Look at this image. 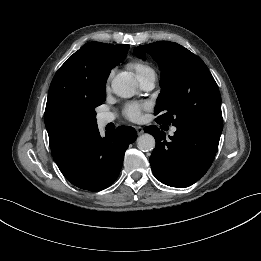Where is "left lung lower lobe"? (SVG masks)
<instances>
[{
    "label": "left lung lower lobe",
    "mask_w": 261,
    "mask_h": 261,
    "mask_svg": "<svg viewBox=\"0 0 261 261\" xmlns=\"http://www.w3.org/2000/svg\"><path fill=\"white\" fill-rule=\"evenodd\" d=\"M145 132L156 140L149 158L154 176L172 187H188L209 169L215 157L222 127H177L169 139L154 125Z\"/></svg>",
    "instance_id": "1"
}]
</instances>
